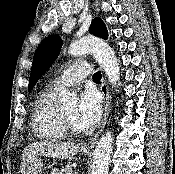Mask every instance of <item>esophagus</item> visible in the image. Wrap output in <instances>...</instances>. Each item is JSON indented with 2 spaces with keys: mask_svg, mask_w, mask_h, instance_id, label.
Instances as JSON below:
<instances>
[{
  "mask_svg": "<svg viewBox=\"0 0 175 174\" xmlns=\"http://www.w3.org/2000/svg\"><path fill=\"white\" fill-rule=\"evenodd\" d=\"M100 89H101V92L103 94L104 117H103L101 129L99 130V132L90 141L82 144V148L87 149V150H91L94 148V146L99 138L100 133L104 129V126L107 122L108 115H109V92H108L107 83H106V80L104 77H102Z\"/></svg>",
  "mask_w": 175,
  "mask_h": 174,
  "instance_id": "esophagus-1",
  "label": "esophagus"
}]
</instances>
